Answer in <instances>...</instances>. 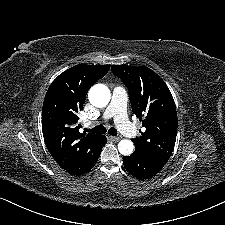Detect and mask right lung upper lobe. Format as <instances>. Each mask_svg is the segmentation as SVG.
I'll use <instances>...</instances> for the list:
<instances>
[{"label":"right lung upper lobe","mask_w":225,"mask_h":225,"mask_svg":"<svg viewBox=\"0 0 225 225\" xmlns=\"http://www.w3.org/2000/svg\"><path fill=\"white\" fill-rule=\"evenodd\" d=\"M109 65L79 64L50 85L42 108V132L57 164L73 175H83L96 164L105 137L80 133L77 113L83 110L89 88L109 71Z\"/></svg>","instance_id":"right-lung-upper-lobe-1"}]
</instances>
